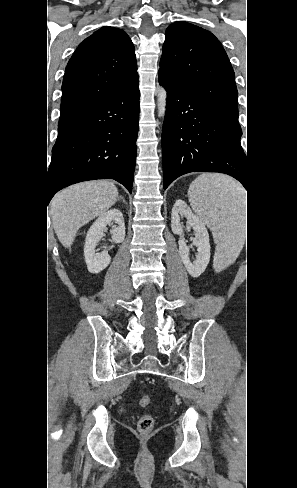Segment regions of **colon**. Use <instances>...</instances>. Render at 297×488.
Wrapping results in <instances>:
<instances>
[{
  "label": "colon",
  "instance_id": "5ec220e1",
  "mask_svg": "<svg viewBox=\"0 0 297 488\" xmlns=\"http://www.w3.org/2000/svg\"><path fill=\"white\" fill-rule=\"evenodd\" d=\"M150 403V397L143 395L139 398V404L141 406H147ZM154 425V419L151 415L145 414L140 417L138 421V430L142 433H148L152 430Z\"/></svg>",
  "mask_w": 297,
  "mask_h": 488
}]
</instances>
